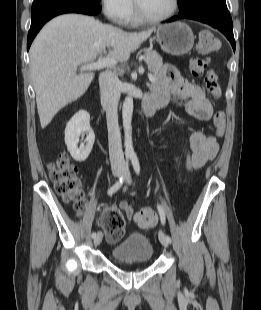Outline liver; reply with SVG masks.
<instances>
[{"mask_svg":"<svg viewBox=\"0 0 261 310\" xmlns=\"http://www.w3.org/2000/svg\"><path fill=\"white\" fill-rule=\"evenodd\" d=\"M154 29L128 33L93 17L64 14L49 21L30 48V71L40 124L45 128L67 104L80 98L94 79L91 71L77 67L104 59L125 62ZM106 47L111 48L106 53Z\"/></svg>","mask_w":261,"mask_h":310,"instance_id":"6515ba94","label":"liver"}]
</instances>
